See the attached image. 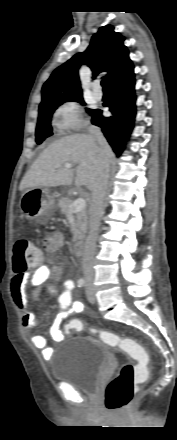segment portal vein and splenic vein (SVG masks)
I'll list each match as a JSON object with an SVG mask.
<instances>
[{
	"label": "portal vein and splenic vein",
	"mask_w": 177,
	"mask_h": 440,
	"mask_svg": "<svg viewBox=\"0 0 177 440\" xmlns=\"http://www.w3.org/2000/svg\"><path fill=\"white\" fill-rule=\"evenodd\" d=\"M64 167L66 169H70L72 167V165L70 163H66L64 165ZM86 207V201L83 198H78L76 199L73 204L70 206V211L73 213H77L82 211L83 209H85Z\"/></svg>",
	"instance_id": "portal-vein-and-splenic-vein-1"
}]
</instances>
